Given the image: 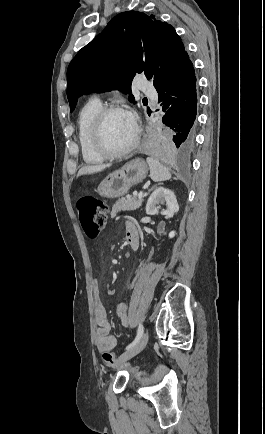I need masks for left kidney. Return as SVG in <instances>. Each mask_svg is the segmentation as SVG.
I'll return each instance as SVG.
<instances>
[{
  "instance_id": "1",
  "label": "left kidney",
  "mask_w": 265,
  "mask_h": 434,
  "mask_svg": "<svg viewBox=\"0 0 265 434\" xmlns=\"http://www.w3.org/2000/svg\"><path fill=\"white\" fill-rule=\"evenodd\" d=\"M158 204H165L166 210H162L160 214L166 216V218H173L174 214L179 210L174 192L167 190V188H156L154 190L146 204V214H149V216L158 214ZM175 234L176 232H170L169 238H174Z\"/></svg>"
}]
</instances>
